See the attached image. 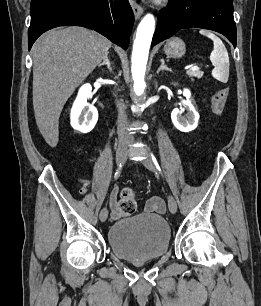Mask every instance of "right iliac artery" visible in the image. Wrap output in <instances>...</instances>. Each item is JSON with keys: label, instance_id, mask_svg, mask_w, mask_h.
I'll list each match as a JSON object with an SVG mask.
<instances>
[{"label": "right iliac artery", "instance_id": "right-iliac-artery-1", "mask_svg": "<svg viewBox=\"0 0 261 306\" xmlns=\"http://www.w3.org/2000/svg\"><path fill=\"white\" fill-rule=\"evenodd\" d=\"M122 165H120V168H121ZM118 174H119V170L115 173V178L118 177Z\"/></svg>", "mask_w": 261, "mask_h": 306}]
</instances>
